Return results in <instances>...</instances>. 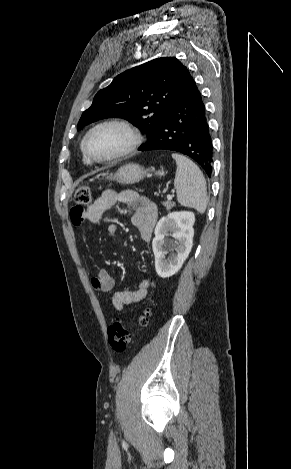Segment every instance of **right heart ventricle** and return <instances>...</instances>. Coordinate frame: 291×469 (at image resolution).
<instances>
[{
    "instance_id": "1",
    "label": "right heart ventricle",
    "mask_w": 291,
    "mask_h": 469,
    "mask_svg": "<svg viewBox=\"0 0 291 469\" xmlns=\"http://www.w3.org/2000/svg\"><path fill=\"white\" fill-rule=\"evenodd\" d=\"M81 150H82V144H81ZM82 152H83V151H82ZM82 159H83V162H84L85 164H89V163H90V161L84 156V154H83V158H82Z\"/></svg>"
}]
</instances>
